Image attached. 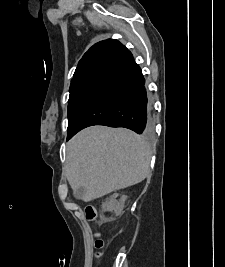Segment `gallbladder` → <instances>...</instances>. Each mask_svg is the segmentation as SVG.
<instances>
[{"label":"gallbladder","mask_w":225,"mask_h":267,"mask_svg":"<svg viewBox=\"0 0 225 267\" xmlns=\"http://www.w3.org/2000/svg\"><path fill=\"white\" fill-rule=\"evenodd\" d=\"M83 192H84V188L83 187H79V188L74 190V196L76 198H81Z\"/></svg>","instance_id":"1"}]
</instances>
